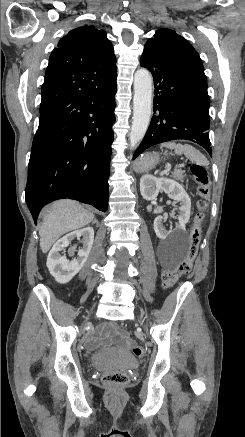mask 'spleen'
<instances>
[{
  "instance_id": "spleen-1",
  "label": "spleen",
  "mask_w": 245,
  "mask_h": 437,
  "mask_svg": "<svg viewBox=\"0 0 245 437\" xmlns=\"http://www.w3.org/2000/svg\"><path fill=\"white\" fill-rule=\"evenodd\" d=\"M161 146L169 149H174L176 154H184L191 161L195 162L198 165H206L208 163L206 157L190 144L183 145L170 141L163 143Z\"/></svg>"
}]
</instances>
